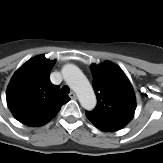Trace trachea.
Segmentation results:
<instances>
[{
    "label": "trachea",
    "mask_w": 163,
    "mask_h": 163,
    "mask_svg": "<svg viewBox=\"0 0 163 163\" xmlns=\"http://www.w3.org/2000/svg\"><path fill=\"white\" fill-rule=\"evenodd\" d=\"M62 92H63V93H69V92H70V88H69L67 85H64V86L62 87Z\"/></svg>",
    "instance_id": "obj_1"
}]
</instances>
